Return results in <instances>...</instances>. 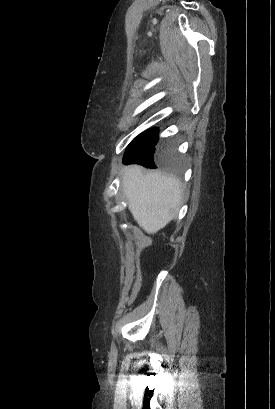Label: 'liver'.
Wrapping results in <instances>:
<instances>
[{
  "mask_svg": "<svg viewBox=\"0 0 275 409\" xmlns=\"http://www.w3.org/2000/svg\"><path fill=\"white\" fill-rule=\"evenodd\" d=\"M123 190L128 209L139 227L148 235H154L172 221L181 198V184L172 174L148 172L132 164L123 170Z\"/></svg>",
  "mask_w": 275,
  "mask_h": 409,
  "instance_id": "6515ba94",
  "label": "liver"
}]
</instances>
